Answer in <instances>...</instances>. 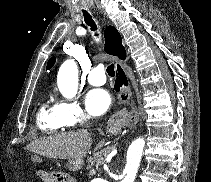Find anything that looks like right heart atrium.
<instances>
[{
	"label": "right heart atrium",
	"instance_id": "obj_1",
	"mask_svg": "<svg viewBox=\"0 0 211 182\" xmlns=\"http://www.w3.org/2000/svg\"><path fill=\"white\" fill-rule=\"evenodd\" d=\"M56 105L59 115L66 126H75L88 119L87 114L76 100H62Z\"/></svg>",
	"mask_w": 211,
	"mask_h": 182
}]
</instances>
